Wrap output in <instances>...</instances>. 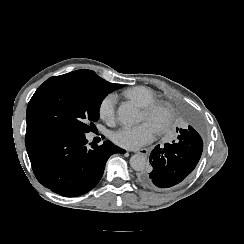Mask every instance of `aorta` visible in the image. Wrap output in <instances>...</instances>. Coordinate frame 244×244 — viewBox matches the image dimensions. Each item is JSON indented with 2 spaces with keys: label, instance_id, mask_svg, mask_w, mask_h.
I'll use <instances>...</instances> for the list:
<instances>
[{
  "label": "aorta",
  "instance_id": "obj_1",
  "mask_svg": "<svg viewBox=\"0 0 244 244\" xmlns=\"http://www.w3.org/2000/svg\"><path fill=\"white\" fill-rule=\"evenodd\" d=\"M119 120L127 126H132L141 121L138 108L131 102L122 103L117 110ZM130 166L135 171H142L147 166V159L142 154H134L130 158Z\"/></svg>",
  "mask_w": 244,
  "mask_h": 244
}]
</instances>
